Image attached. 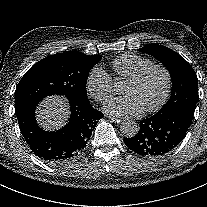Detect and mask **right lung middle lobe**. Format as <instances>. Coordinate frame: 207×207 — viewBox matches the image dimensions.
Instances as JSON below:
<instances>
[{"label":"right lung middle lobe","mask_w":207,"mask_h":207,"mask_svg":"<svg viewBox=\"0 0 207 207\" xmlns=\"http://www.w3.org/2000/svg\"><path fill=\"white\" fill-rule=\"evenodd\" d=\"M101 55L69 51L48 56L34 64L22 77L15 91V112L36 106L49 95H65L70 102H86V83L91 68Z\"/></svg>","instance_id":"dd1d6c3e"}]
</instances>
